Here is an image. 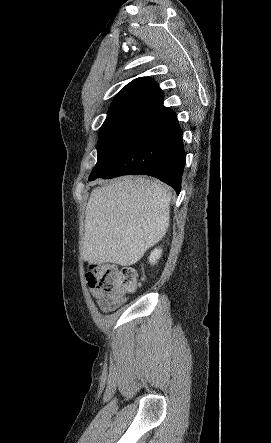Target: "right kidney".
<instances>
[{"instance_id": "right-kidney-1", "label": "right kidney", "mask_w": 271, "mask_h": 443, "mask_svg": "<svg viewBox=\"0 0 271 443\" xmlns=\"http://www.w3.org/2000/svg\"><path fill=\"white\" fill-rule=\"evenodd\" d=\"M161 251L162 249H157V247L156 249H153L149 255V261H151V263H156V259H159Z\"/></svg>"}]
</instances>
